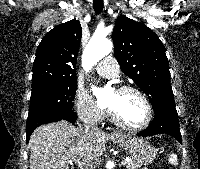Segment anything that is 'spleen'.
I'll return each instance as SVG.
<instances>
[{
  "mask_svg": "<svg viewBox=\"0 0 200 169\" xmlns=\"http://www.w3.org/2000/svg\"><path fill=\"white\" fill-rule=\"evenodd\" d=\"M168 161L172 164V165H177L178 164V159H177V155L176 154H171L169 156Z\"/></svg>",
  "mask_w": 200,
  "mask_h": 169,
  "instance_id": "3e777b00",
  "label": "spleen"
}]
</instances>
